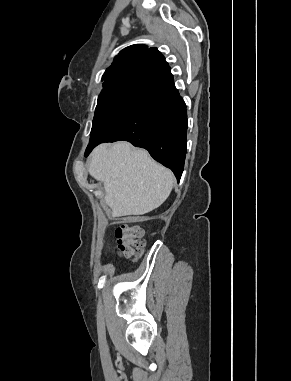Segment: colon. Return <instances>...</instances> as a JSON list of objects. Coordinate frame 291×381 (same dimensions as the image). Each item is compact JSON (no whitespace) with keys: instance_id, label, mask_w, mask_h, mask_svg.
<instances>
[{"instance_id":"obj_1","label":"colon","mask_w":291,"mask_h":381,"mask_svg":"<svg viewBox=\"0 0 291 381\" xmlns=\"http://www.w3.org/2000/svg\"><path fill=\"white\" fill-rule=\"evenodd\" d=\"M117 240V249L125 258H136L140 255L143 242L141 240L142 230L139 226L120 224L114 228Z\"/></svg>"}]
</instances>
